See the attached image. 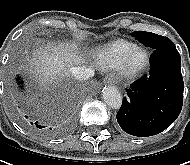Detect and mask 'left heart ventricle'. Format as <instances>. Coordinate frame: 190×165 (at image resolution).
I'll return each mask as SVG.
<instances>
[{"label": "left heart ventricle", "mask_w": 190, "mask_h": 165, "mask_svg": "<svg viewBox=\"0 0 190 165\" xmlns=\"http://www.w3.org/2000/svg\"><path fill=\"white\" fill-rule=\"evenodd\" d=\"M144 61V54L138 53L133 60L134 65H140Z\"/></svg>", "instance_id": "b2bd125f"}]
</instances>
